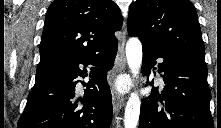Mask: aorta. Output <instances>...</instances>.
Instances as JSON below:
<instances>
[{
	"mask_svg": "<svg viewBox=\"0 0 221 128\" xmlns=\"http://www.w3.org/2000/svg\"><path fill=\"white\" fill-rule=\"evenodd\" d=\"M126 58L134 78H138L142 64V44L136 37H131L126 44ZM141 101L138 93L132 92L128 98L125 113L124 127L136 128L139 122Z\"/></svg>",
	"mask_w": 221,
	"mask_h": 128,
	"instance_id": "obj_1",
	"label": "aorta"
}]
</instances>
